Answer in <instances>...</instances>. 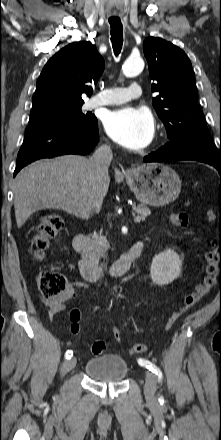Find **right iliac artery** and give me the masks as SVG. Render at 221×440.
Masks as SVG:
<instances>
[{"mask_svg":"<svg viewBox=\"0 0 221 440\" xmlns=\"http://www.w3.org/2000/svg\"><path fill=\"white\" fill-rule=\"evenodd\" d=\"M72 356H73V352L71 350H68L65 354L66 359H71Z\"/></svg>","mask_w":221,"mask_h":440,"instance_id":"1","label":"right iliac artery"}]
</instances>
